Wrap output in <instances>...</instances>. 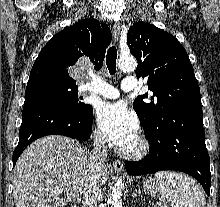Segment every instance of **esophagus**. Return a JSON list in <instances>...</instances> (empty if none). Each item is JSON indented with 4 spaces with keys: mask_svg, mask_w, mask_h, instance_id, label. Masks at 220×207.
<instances>
[{
    "mask_svg": "<svg viewBox=\"0 0 220 207\" xmlns=\"http://www.w3.org/2000/svg\"><path fill=\"white\" fill-rule=\"evenodd\" d=\"M112 34H113L114 41L118 42L119 35H120V25H119V23L115 22L113 24ZM113 166H114L115 170L118 171V172H122L124 170V165L120 160H114Z\"/></svg>",
    "mask_w": 220,
    "mask_h": 207,
    "instance_id": "esophagus-1",
    "label": "esophagus"
}]
</instances>
